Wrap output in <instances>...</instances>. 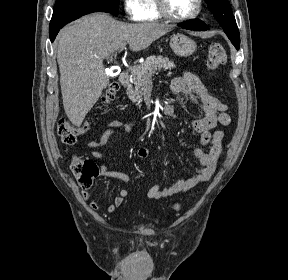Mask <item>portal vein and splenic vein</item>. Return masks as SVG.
<instances>
[{"mask_svg":"<svg viewBox=\"0 0 288 280\" xmlns=\"http://www.w3.org/2000/svg\"><path fill=\"white\" fill-rule=\"evenodd\" d=\"M125 47H126V44H123V45L121 46V48H120V51H122L123 49H125Z\"/></svg>","mask_w":288,"mask_h":280,"instance_id":"portal-vein-and-splenic-vein-1","label":"portal vein and splenic vein"}]
</instances>
